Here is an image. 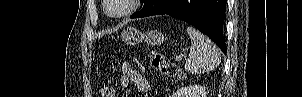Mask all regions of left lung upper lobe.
Instances as JSON below:
<instances>
[{
	"label": "left lung upper lobe",
	"mask_w": 302,
	"mask_h": 97,
	"mask_svg": "<svg viewBox=\"0 0 302 97\" xmlns=\"http://www.w3.org/2000/svg\"><path fill=\"white\" fill-rule=\"evenodd\" d=\"M142 2H144V7L148 5V3L151 1V0H141ZM143 9V8H142Z\"/></svg>",
	"instance_id": "left-lung-upper-lobe-1"
}]
</instances>
